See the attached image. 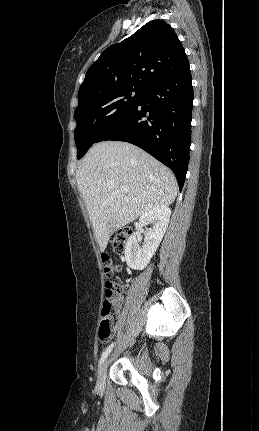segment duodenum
Instances as JSON below:
<instances>
[{
  "label": "duodenum",
  "mask_w": 259,
  "mask_h": 431,
  "mask_svg": "<svg viewBox=\"0 0 259 431\" xmlns=\"http://www.w3.org/2000/svg\"><path fill=\"white\" fill-rule=\"evenodd\" d=\"M120 323V319H119V321H118V323L117 324H119Z\"/></svg>",
  "instance_id": "1"
}]
</instances>
